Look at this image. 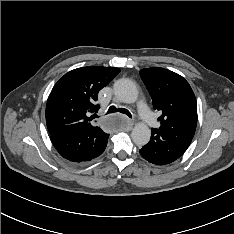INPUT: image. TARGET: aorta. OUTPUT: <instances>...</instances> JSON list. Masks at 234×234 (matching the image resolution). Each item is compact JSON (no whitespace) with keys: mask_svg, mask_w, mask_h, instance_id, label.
<instances>
[{"mask_svg":"<svg viewBox=\"0 0 234 234\" xmlns=\"http://www.w3.org/2000/svg\"><path fill=\"white\" fill-rule=\"evenodd\" d=\"M114 94L123 103L131 104L138 98V90L133 81L127 78L119 79L114 84ZM151 131L144 123H137L131 133L133 142L143 146L150 140Z\"/></svg>","mask_w":234,"mask_h":234,"instance_id":"762f6f07","label":"aorta"}]
</instances>
